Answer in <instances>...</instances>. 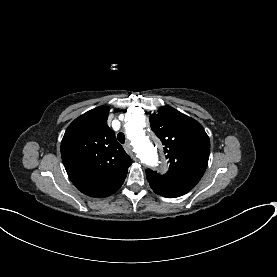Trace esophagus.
<instances>
[{
	"label": "esophagus",
	"mask_w": 277,
	"mask_h": 277,
	"mask_svg": "<svg viewBox=\"0 0 277 277\" xmlns=\"http://www.w3.org/2000/svg\"><path fill=\"white\" fill-rule=\"evenodd\" d=\"M124 148H125V150H126L127 152H131V151H132V147H131L129 141H127V142L124 144ZM132 157H133V159H134L135 161H137V158H136L135 156L132 155Z\"/></svg>",
	"instance_id": "34e87169"
}]
</instances>
